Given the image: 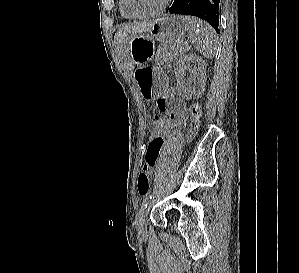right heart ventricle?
<instances>
[{
    "instance_id": "e07e8e85",
    "label": "right heart ventricle",
    "mask_w": 299,
    "mask_h": 273,
    "mask_svg": "<svg viewBox=\"0 0 299 273\" xmlns=\"http://www.w3.org/2000/svg\"><path fill=\"white\" fill-rule=\"evenodd\" d=\"M119 11L120 14L123 18L125 19H132L133 17L129 16L127 13H125V11L123 10L122 6H121V0H119Z\"/></svg>"
}]
</instances>
